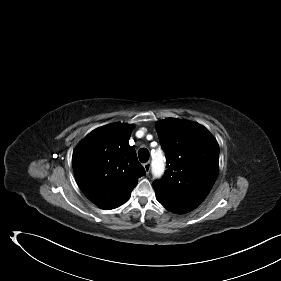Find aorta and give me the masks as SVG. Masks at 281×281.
<instances>
[{
    "mask_svg": "<svg viewBox=\"0 0 281 281\" xmlns=\"http://www.w3.org/2000/svg\"><path fill=\"white\" fill-rule=\"evenodd\" d=\"M152 160V173L155 177H160L165 170L164 157L161 150H157L153 153Z\"/></svg>",
    "mask_w": 281,
    "mask_h": 281,
    "instance_id": "1",
    "label": "aorta"
}]
</instances>
